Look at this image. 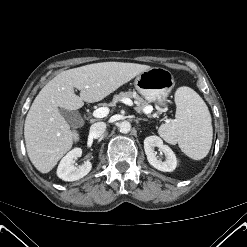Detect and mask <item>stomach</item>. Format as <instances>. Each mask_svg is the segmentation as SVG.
Here are the masks:
<instances>
[{"label": "stomach", "mask_w": 247, "mask_h": 247, "mask_svg": "<svg viewBox=\"0 0 247 247\" xmlns=\"http://www.w3.org/2000/svg\"><path fill=\"white\" fill-rule=\"evenodd\" d=\"M136 90L149 102L165 105L175 85L172 73L161 67H152L140 73L134 82Z\"/></svg>", "instance_id": "0dacf381"}]
</instances>
